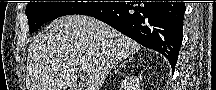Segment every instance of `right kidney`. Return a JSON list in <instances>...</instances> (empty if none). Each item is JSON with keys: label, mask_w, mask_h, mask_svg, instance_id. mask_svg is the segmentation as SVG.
Segmentation results:
<instances>
[{"label": "right kidney", "mask_w": 216, "mask_h": 90, "mask_svg": "<svg viewBox=\"0 0 216 90\" xmlns=\"http://www.w3.org/2000/svg\"><path fill=\"white\" fill-rule=\"evenodd\" d=\"M137 84H138V78H137ZM137 84H135V86H134V90H138V86H137Z\"/></svg>", "instance_id": "ca27d5eb"}]
</instances>
